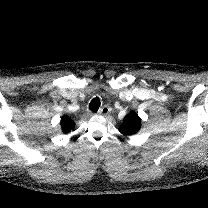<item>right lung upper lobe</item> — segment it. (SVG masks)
<instances>
[{"label":"right lung upper lobe","instance_id":"1","mask_svg":"<svg viewBox=\"0 0 208 208\" xmlns=\"http://www.w3.org/2000/svg\"><path fill=\"white\" fill-rule=\"evenodd\" d=\"M60 124L62 128V132L65 134L71 132L75 127V123L68 116H63L61 118Z\"/></svg>","mask_w":208,"mask_h":208}]
</instances>
